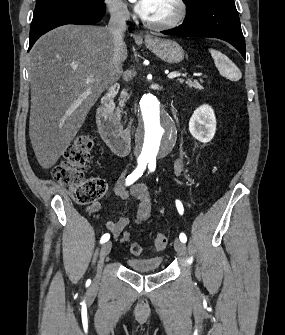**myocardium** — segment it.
Masks as SVG:
<instances>
[{"mask_svg":"<svg viewBox=\"0 0 285 335\" xmlns=\"http://www.w3.org/2000/svg\"><path fill=\"white\" fill-rule=\"evenodd\" d=\"M171 3L176 10V13L172 18L160 24H152L149 22H145L146 27L154 31H165L178 26L186 17L187 6L185 1H171Z\"/></svg>","mask_w":285,"mask_h":335,"instance_id":"myocardium-1","label":"myocardium"}]
</instances>
